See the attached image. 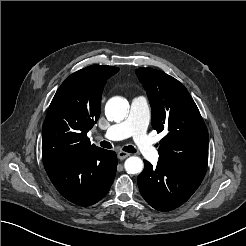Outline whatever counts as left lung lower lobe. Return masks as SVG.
<instances>
[{
  "instance_id": "1",
  "label": "left lung lower lobe",
  "mask_w": 246,
  "mask_h": 246,
  "mask_svg": "<svg viewBox=\"0 0 246 246\" xmlns=\"http://www.w3.org/2000/svg\"><path fill=\"white\" fill-rule=\"evenodd\" d=\"M138 176L140 193L159 211H171L185 203L201 184L207 166L173 160H159L156 167L144 161Z\"/></svg>"
}]
</instances>
